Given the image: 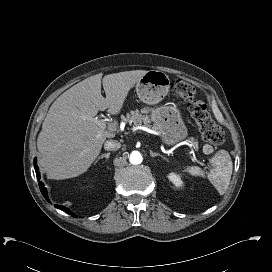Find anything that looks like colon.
I'll list each match as a JSON object with an SVG mask.
<instances>
[{
    "mask_svg": "<svg viewBox=\"0 0 272 272\" xmlns=\"http://www.w3.org/2000/svg\"><path fill=\"white\" fill-rule=\"evenodd\" d=\"M173 92L187 104L189 112L197 123L203 139L212 145H221L224 141L223 132L210 118L207 106L198 97L194 86L189 82L178 80L173 85Z\"/></svg>",
    "mask_w": 272,
    "mask_h": 272,
    "instance_id": "1",
    "label": "colon"
}]
</instances>
